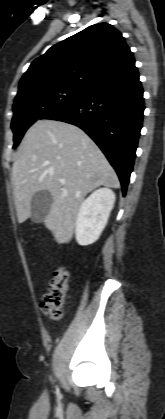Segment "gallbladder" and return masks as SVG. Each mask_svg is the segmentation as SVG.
Instances as JSON below:
<instances>
[{
	"label": "gallbladder",
	"instance_id": "bac80fb5",
	"mask_svg": "<svg viewBox=\"0 0 165 419\" xmlns=\"http://www.w3.org/2000/svg\"><path fill=\"white\" fill-rule=\"evenodd\" d=\"M53 199L47 190L36 192L31 199L30 218L34 223H42L50 211Z\"/></svg>",
	"mask_w": 165,
	"mask_h": 419
}]
</instances>
